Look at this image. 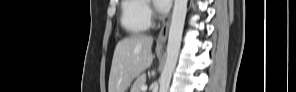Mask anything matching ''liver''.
<instances>
[{"label": "liver", "mask_w": 296, "mask_h": 92, "mask_svg": "<svg viewBox=\"0 0 296 92\" xmlns=\"http://www.w3.org/2000/svg\"><path fill=\"white\" fill-rule=\"evenodd\" d=\"M153 38L136 34L120 40L114 51L109 75L108 92H126L131 82L153 61ZM161 48L157 46V53Z\"/></svg>", "instance_id": "6515ba94"}]
</instances>
